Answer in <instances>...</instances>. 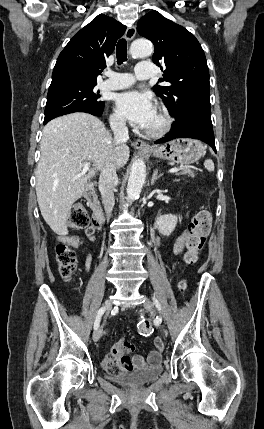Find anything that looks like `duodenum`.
Instances as JSON below:
<instances>
[{
    "instance_id": "410a0bca",
    "label": "duodenum",
    "mask_w": 264,
    "mask_h": 429,
    "mask_svg": "<svg viewBox=\"0 0 264 429\" xmlns=\"http://www.w3.org/2000/svg\"><path fill=\"white\" fill-rule=\"evenodd\" d=\"M84 197L87 201L89 208L93 212L94 220L100 225L105 222V216L102 209V205L100 200L94 190V186L92 183H89L84 190Z\"/></svg>"
}]
</instances>
